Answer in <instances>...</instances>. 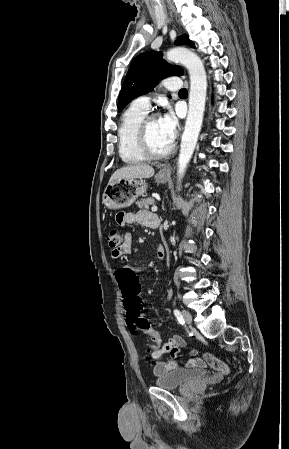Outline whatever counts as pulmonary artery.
Segmentation results:
<instances>
[{"instance_id":"e3ab8cb5","label":"pulmonary artery","mask_w":289,"mask_h":449,"mask_svg":"<svg viewBox=\"0 0 289 449\" xmlns=\"http://www.w3.org/2000/svg\"><path fill=\"white\" fill-rule=\"evenodd\" d=\"M162 86L168 90H177L181 86V80L178 77H169L162 81ZM132 105L148 112L151 106V98L148 96L137 97Z\"/></svg>"}]
</instances>
